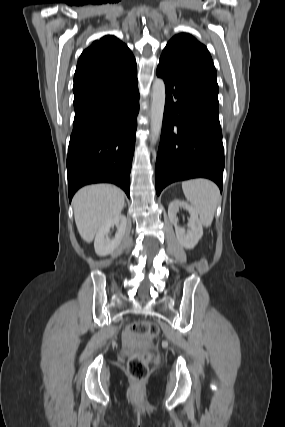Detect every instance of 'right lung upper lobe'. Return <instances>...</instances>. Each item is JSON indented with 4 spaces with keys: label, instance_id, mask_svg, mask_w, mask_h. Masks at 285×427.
<instances>
[{
    "label": "right lung upper lobe",
    "instance_id": "obj_1",
    "mask_svg": "<svg viewBox=\"0 0 285 427\" xmlns=\"http://www.w3.org/2000/svg\"><path fill=\"white\" fill-rule=\"evenodd\" d=\"M137 73L130 49L112 35L96 40L81 54L74 75V102Z\"/></svg>",
    "mask_w": 285,
    "mask_h": 427
}]
</instances>
